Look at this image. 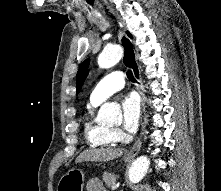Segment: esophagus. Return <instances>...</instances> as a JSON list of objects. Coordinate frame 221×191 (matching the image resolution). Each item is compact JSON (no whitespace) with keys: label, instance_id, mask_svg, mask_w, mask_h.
<instances>
[{"label":"esophagus","instance_id":"1","mask_svg":"<svg viewBox=\"0 0 221 191\" xmlns=\"http://www.w3.org/2000/svg\"><path fill=\"white\" fill-rule=\"evenodd\" d=\"M119 40L120 43L123 46L124 49V64L128 67L132 68L134 77L136 79L137 82V90L141 96V100H142V106H143V110H142V114H143V123H142V132H141V136L140 138L135 142V144L133 145V147L126 153L127 157H135L141 150L142 147V140L141 137L144 133L145 130V116H146V101H147V97L145 95V89H144V85H143V80L141 77V71H140V67L138 65L137 59H136V54H135V50L133 48V43L130 40V38L123 32L120 31L119 33Z\"/></svg>","mask_w":221,"mask_h":191}]
</instances>
